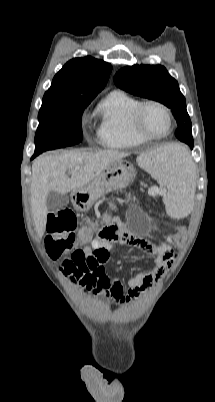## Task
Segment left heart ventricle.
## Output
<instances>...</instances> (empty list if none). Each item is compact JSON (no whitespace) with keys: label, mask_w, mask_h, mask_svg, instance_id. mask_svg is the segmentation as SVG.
Here are the masks:
<instances>
[{"label":"left heart ventricle","mask_w":215,"mask_h":402,"mask_svg":"<svg viewBox=\"0 0 215 402\" xmlns=\"http://www.w3.org/2000/svg\"><path fill=\"white\" fill-rule=\"evenodd\" d=\"M142 121L145 129L151 134L161 135L168 130V118L165 112L156 106L144 109Z\"/></svg>","instance_id":"obj_1"}]
</instances>
